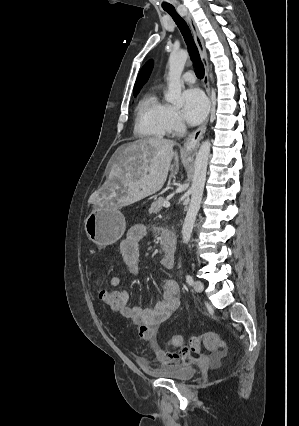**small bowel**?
<instances>
[{"label": "small bowel", "mask_w": 299, "mask_h": 426, "mask_svg": "<svg viewBox=\"0 0 299 426\" xmlns=\"http://www.w3.org/2000/svg\"><path fill=\"white\" fill-rule=\"evenodd\" d=\"M146 235L143 225L131 227L125 239L120 244V254L126 266L133 274L139 271V243ZM160 264L163 268L171 269L174 258L164 255ZM110 286L118 287L121 284L119 276L111 277ZM121 294L120 306L117 310L123 317L129 319L137 327L140 337L149 342L154 349V360L162 366L189 364L194 357L189 351L165 352L157 342L158 329L161 323L167 320L179 307V286L174 280H166L162 287L161 299L152 307L130 306L129 295L126 289L119 290Z\"/></svg>", "instance_id": "c3829d8e"}]
</instances>
